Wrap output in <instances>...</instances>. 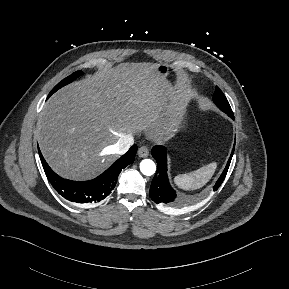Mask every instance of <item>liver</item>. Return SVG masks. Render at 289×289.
I'll use <instances>...</instances> for the list:
<instances>
[{
    "instance_id": "obj_1",
    "label": "liver",
    "mask_w": 289,
    "mask_h": 289,
    "mask_svg": "<svg viewBox=\"0 0 289 289\" xmlns=\"http://www.w3.org/2000/svg\"><path fill=\"white\" fill-rule=\"evenodd\" d=\"M153 63H121L63 87L37 122L41 152L61 177L88 180L118 157L124 134L152 125L167 108L166 78Z\"/></svg>"
}]
</instances>
